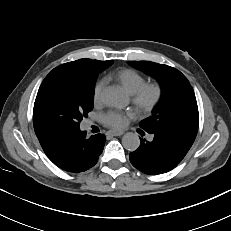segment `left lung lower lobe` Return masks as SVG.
<instances>
[{"label":"left lung lower lobe","instance_id":"obj_1","mask_svg":"<svg viewBox=\"0 0 231 231\" xmlns=\"http://www.w3.org/2000/svg\"><path fill=\"white\" fill-rule=\"evenodd\" d=\"M140 134H145L139 131ZM153 139H140L139 148L129 155L132 165L149 175L166 173L185 157L195 139L165 132H148Z\"/></svg>","mask_w":231,"mask_h":231}]
</instances>
